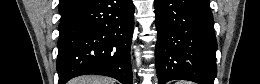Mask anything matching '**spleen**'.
Masks as SVG:
<instances>
[{
	"mask_svg": "<svg viewBox=\"0 0 260 84\" xmlns=\"http://www.w3.org/2000/svg\"><path fill=\"white\" fill-rule=\"evenodd\" d=\"M176 84H191L190 82H186V81H179Z\"/></svg>",
	"mask_w": 260,
	"mask_h": 84,
	"instance_id": "1",
	"label": "spleen"
}]
</instances>
